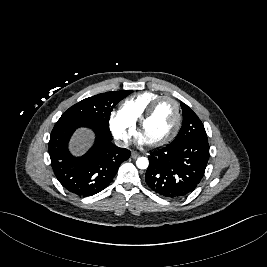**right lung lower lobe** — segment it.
Listing matches in <instances>:
<instances>
[{"label":"right lung lower lobe","instance_id":"1","mask_svg":"<svg viewBox=\"0 0 267 267\" xmlns=\"http://www.w3.org/2000/svg\"><path fill=\"white\" fill-rule=\"evenodd\" d=\"M79 127L55 125L50 136L49 155L54 174L62 186L75 195L87 197L108 186L131 152L112 144L109 127L86 125L84 127L95 132V143L85 155L76 158L69 152L68 142Z\"/></svg>","mask_w":267,"mask_h":267}]
</instances>
